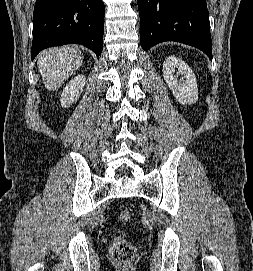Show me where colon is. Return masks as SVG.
<instances>
[{
    "label": "colon",
    "instance_id": "5ec220e1",
    "mask_svg": "<svg viewBox=\"0 0 253 271\" xmlns=\"http://www.w3.org/2000/svg\"><path fill=\"white\" fill-rule=\"evenodd\" d=\"M131 218L128 210H122L119 213V219L122 223H127ZM135 254L133 245L128 241L125 234L118 235L112 244V255L115 260L121 263H129Z\"/></svg>",
    "mask_w": 253,
    "mask_h": 271
}]
</instances>
